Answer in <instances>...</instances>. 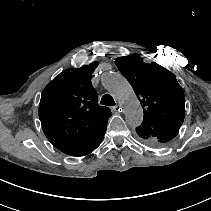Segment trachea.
Returning <instances> with one entry per match:
<instances>
[{
	"mask_svg": "<svg viewBox=\"0 0 211 211\" xmlns=\"http://www.w3.org/2000/svg\"><path fill=\"white\" fill-rule=\"evenodd\" d=\"M102 105H105V106H114L116 105L113 97L109 94H105L102 99H101V102H100Z\"/></svg>",
	"mask_w": 211,
	"mask_h": 211,
	"instance_id": "1",
	"label": "trachea"
}]
</instances>
